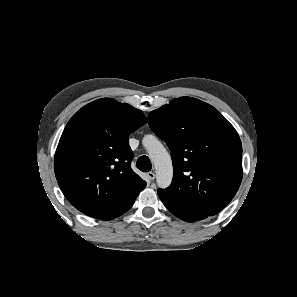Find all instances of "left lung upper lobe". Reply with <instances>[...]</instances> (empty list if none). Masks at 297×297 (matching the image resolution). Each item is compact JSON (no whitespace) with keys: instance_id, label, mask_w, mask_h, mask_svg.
Returning <instances> with one entry per match:
<instances>
[{"instance_id":"obj_1","label":"left lung upper lobe","mask_w":297,"mask_h":297,"mask_svg":"<svg viewBox=\"0 0 297 297\" xmlns=\"http://www.w3.org/2000/svg\"><path fill=\"white\" fill-rule=\"evenodd\" d=\"M151 130L171 150L173 180L158 195L183 214L202 220L220 212L242 180V145L213 106L191 97L173 99L149 113Z\"/></svg>"}]
</instances>
